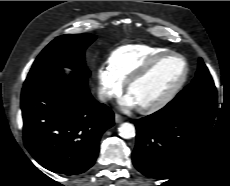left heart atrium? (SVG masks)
<instances>
[{
    "label": "left heart atrium",
    "instance_id": "39dd6f15",
    "mask_svg": "<svg viewBox=\"0 0 230 186\" xmlns=\"http://www.w3.org/2000/svg\"><path fill=\"white\" fill-rule=\"evenodd\" d=\"M122 105H123L124 107H127V108H133V107H136V106H137L136 103H135V101L132 99V97H131L129 94H127V95L123 98V100H122Z\"/></svg>",
    "mask_w": 230,
    "mask_h": 186
}]
</instances>
